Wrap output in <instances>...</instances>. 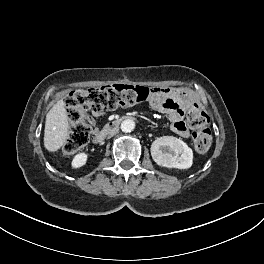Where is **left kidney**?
Wrapping results in <instances>:
<instances>
[{
    "mask_svg": "<svg viewBox=\"0 0 264 264\" xmlns=\"http://www.w3.org/2000/svg\"><path fill=\"white\" fill-rule=\"evenodd\" d=\"M153 160L167 168L188 169L193 164V151L181 139L173 136L157 138L151 145Z\"/></svg>",
    "mask_w": 264,
    "mask_h": 264,
    "instance_id": "obj_1",
    "label": "left kidney"
}]
</instances>
